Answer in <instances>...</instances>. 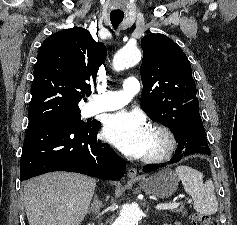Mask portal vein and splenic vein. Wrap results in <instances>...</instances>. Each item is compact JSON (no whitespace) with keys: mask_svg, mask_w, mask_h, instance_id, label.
<instances>
[{"mask_svg":"<svg viewBox=\"0 0 237 225\" xmlns=\"http://www.w3.org/2000/svg\"><path fill=\"white\" fill-rule=\"evenodd\" d=\"M181 205L179 202L174 203H167V204H158L156 206L157 210H169V209H175L178 208Z\"/></svg>","mask_w":237,"mask_h":225,"instance_id":"obj_1","label":"portal vein and splenic vein"}]
</instances>
